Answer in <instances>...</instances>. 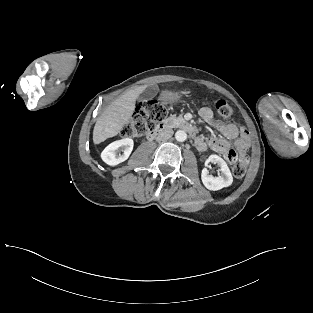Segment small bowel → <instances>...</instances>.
<instances>
[{
    "mask_svg": "<svg viewBox=\"0 0 313 313\" xmlns=\"http://www.w3.org/2000/svg\"><path fill=\"white\" fill-rule=\"evenodd\" d=\"M200 117L214 129H216L221 137H197L195 140L196 147L200 151L207 148L223 154L224 157L229 152H235L231 149V141H234V146L238 151V156H247L246 153L252 146V137L249 131L242 125L235 123H225L215 118L213 111L208 107H203L199 111Z\"/></svg>",
    "mask_w": 313,
    "mask_h": 313,
    "instance_id": "c3829d8e",
    "label": "small bowel"
}]
</instances>
